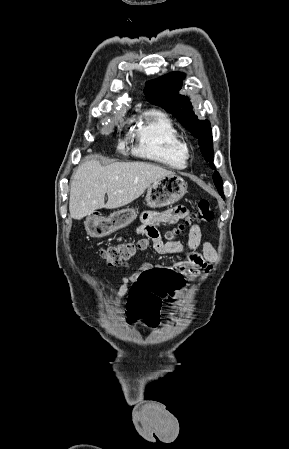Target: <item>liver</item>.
Returning <instances> with one entry per match:
<instances>
[{"mask_svg": "<svg viewBox=\"0 0 289 449\" xmlns=\"http://www.w3.org/2000/svg\"><path fill=\"white\" fill-rule=\"evenodd\" d=\"M174 174L145 162H116L102 166L96 159L85 160L72 176L70 216L81 220L98 209L125 206L139 198L153 182ZM105 194L108 196L106 204Z\"/></svg>", "mask_w": 289, "mask_h": 449, "instance_id": "liver-1", "label": "liver"}]
</instances>
